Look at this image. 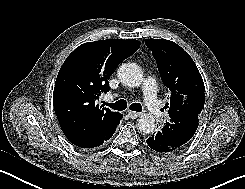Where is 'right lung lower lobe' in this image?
Wrapping results in <instances>:
<instances>
[{
  "instance_id": "1",
  "label": "right lung lower lobe",
  "mask_w": 245,
  "mask_h": 189,
  "mask_svg": "<svg viewBox=\"0 0 245 189\" xmlns=\"http://www.w3.org/2000/svg\"><path fill=\"white\" fill-rule=\"evenodd\" d=\"M100 122V121H99ZM113 135V134H112ZM108 136L106 138H103V139H100L98 140V142H92L91 144H88V145H83V146H79V147H82V148H93V147H97V146H100L102 145L105 141H107L108 139H110V137L112 136Z\"/></svg>"
}]
</instances>
